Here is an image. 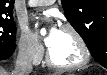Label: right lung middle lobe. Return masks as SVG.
I'll return each instance as SVG.
<instances>
[{"label":"right lung middle lobe","instance_id":"dd1d6c3e","mask_svg":"<svg viewBox=\"0 0 107 75\" xmlns=\"http://www.w3.org/2000/svg\"><path fill=\"white\" fill-rule=\"evenodd\" d=\"M16 27L13 18H0V47L15 46Z\"/></svg>","mask_w":107,"mask_h":75}]
</instances>
